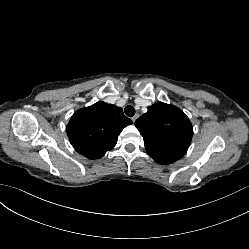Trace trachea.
I'll return each instance as SVG.
<instances>
[{"mask_svg": "<svg viewBox=\"0 0 249 249\" xmlns=\"http://www.w3.org/2000/svg\"><path fill=\"white\" fill-rule=\"evenodd\" d=\"M125 114L128 116V117H133L135 115V109L128 105L125 107Z\"/></svg>", "mask_w": 249, "mask_h": 249, "instance_id": "3493384b", "label": "trachea"}]
</instances>
